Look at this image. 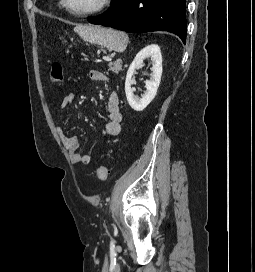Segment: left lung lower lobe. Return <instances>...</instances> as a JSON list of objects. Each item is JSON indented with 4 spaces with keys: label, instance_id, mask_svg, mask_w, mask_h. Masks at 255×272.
Listing matches in <instances>:
<instances>
[{
    "label": "left lung lower lobe",
    "instance_id": "0a47b994",
    "mask_svg": "<svg viewBox=\"0 0 255 272\" xmlns=\"http://www.w3.org/2000/svg\"><path fill=\"white\" fill-rule=\"evenodd\" d=\"M88 21L128 33L168 31L185 43L186 0H112L106 13Z\"/></svg>",
    "mask_w": 255,
    "mask_h": 272
}]
</instances>
